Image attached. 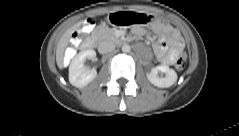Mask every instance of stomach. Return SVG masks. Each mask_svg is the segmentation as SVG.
Segmentation results:
<instances>
[{"mask_svg": "<svg viewBox=\"0 0 239 136\" xmlns=\"http://www.w3.org/2000/svg\"><path fill=\"white\" fill-rule=\"evenodd\" d=\"M109 22L116 27L133 28L135 25H149L153 22L152 14L114 10L109 13Z\"/></svg>", "mask_w": 239, "mask_h": 136, "instance_id": "obj_1", "label": "stomach"}]
</instances>
